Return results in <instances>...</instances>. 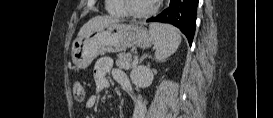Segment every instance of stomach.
Returning <instances> with one entry per match:
<instances>
[{"label":"stomach","mask_w":273,"mask_h":118,"mask_svg":"<svg viewBox=\"0 0 273 118\" xmlns=\"http://www.w3.org/2000/svg\"><path fill=\"white\" fill-rule=\"evenodd\" d=\"M153 42L145 27L113 22L78 37L72 44L71 59L77 69H85L99 55L131 47L148 48Z\"/></svg>","instance_id":"stomach-1"}]
</instances>
